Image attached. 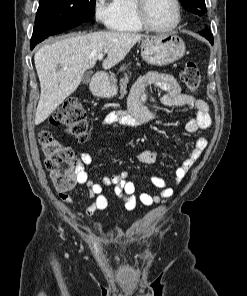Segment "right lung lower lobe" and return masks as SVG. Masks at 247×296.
I'll use <instances>...</instances> for the list:
<instances>
[{
    "label": "right lung lower lobe",
    "instance_id": "1",
    "mask_svg": "<svg viewBox=\"0 0 247 296\" xmlns=\"http://www.w3.org/2000/svg\"><path fill=\"white\" fill-rule=\"evenodd\" d=\"M37 43L38 42H31V49H33Z\"/></svg>",
    "mask_w": 247,
    "mask_h": 296
}]
</instances>
